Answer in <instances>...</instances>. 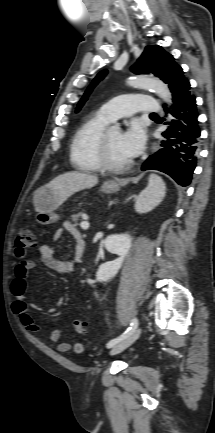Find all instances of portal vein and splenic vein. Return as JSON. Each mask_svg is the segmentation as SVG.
I'll list each match as a JSON object with an SVG mask.
<instances>
[{"label": "portal vein and splenic vein", "mask_w": 215, "mask_h": 433, "mask_svg": "<svg viewBox=\"0 0 215 433\" xmlns=\"http://www.w3.org/2000/svg\"><path fill=\"white\" fill-rule=\"evenodd\" d=\"M82 229H88L89 228V222L87 221V219H85L84 221L81 222L80 224Z\"/></svg>", "instance_id": "1"}]
</instances>
